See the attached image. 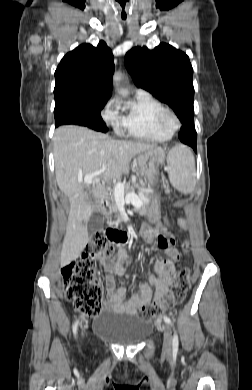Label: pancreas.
<instances>
[{
	"label": "pancreas",
	"mask_w": 252,
	"mask_h": 390,
	"mask_svg": "<svg viewBox=\"0 0 252 390\" xmlns=\"http://www.w3.org/2000/svg\"><path fill=\"white\" fill-rule=\"evenodd\" d=\"M152 197H148V200H145L142 202V206L140 208H136V211L139 213L140 217L146 216V206L150 203ZM111 202H112V207L114 210H117V204L115 202V194L114 192L111 193Z\"/></svg>",
	"instance_id": "obj_1"
}]
</instances>
